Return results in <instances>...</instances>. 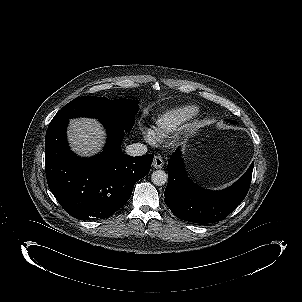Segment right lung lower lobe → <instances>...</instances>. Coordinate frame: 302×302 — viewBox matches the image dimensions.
I'll use <instances>...</instances> for the list:
<instances>
[{"mask_svg": "<svg viewBox=\"0 0 302 302\" xmlns=\"http://www.w3.org/2000/svg\"><path fill=\"white\" fill-rule=\"evenodd\" d=\"M68 120L49 124L45 138L48 186L63 209L80 220L104 219L129 200L135 183L150 170L153 155L131 157L122 153L124 129L100 121L108 133L104 150L92 158H80L66 140Z\"/></svg>", "mask_w": 302, "mask_h": 302, "instance_id": "1", "label": "right lung lower lobe"}]
</instances>
